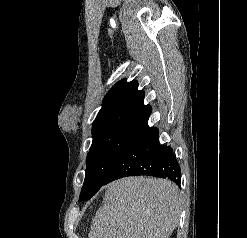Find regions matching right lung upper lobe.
I'll return each mask as SVG.
<instances>
[{
  "label": "right lung upper lobe",
  "instance_id": "obj_1",
  "mask_svg": "<svg viewBox=\"0 0 247 238\" xmlns=\"http://www.w3.org/2000/svg\"><path fill=\"white\" fill-rule=\"evenodd\" d=\"M143 102L144 92L138 91L137 81L127 83L126 80H121L105 96L103 106L93 123L92 133L119 121H148L152 108Z\"/></svg>",
  "mask_w": 247,
  "mask_h": 238
}]
</instances>
